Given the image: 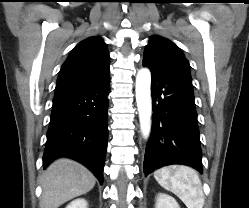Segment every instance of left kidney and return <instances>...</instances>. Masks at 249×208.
Listing matches in <instances>:
<instances>
[{"label": "left kidney", "instance_id": "5707ae66", "mask_svg": "<svg viewBox=\"0 0 249 208\" xmlns=\"http://www.w3.org/2000/svg\"><path fill=\"white\" fill-rule=\"evenodd\" d=\"M155 208H180V206L173 197L164 193H159L156 198Z\"/></svg>", "mask_w": 249, "mask_h": 208}]
</instances>
